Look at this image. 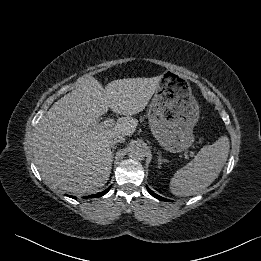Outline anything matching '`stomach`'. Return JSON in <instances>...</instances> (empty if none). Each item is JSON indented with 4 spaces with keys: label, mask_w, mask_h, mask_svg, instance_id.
<instances>
[{
    "label": "stomach",
    "mask_w": 261,
    "mask_h": 261,
    "mask_svg": "<svg viewBox=\"0 0 261 261\" xmlns=\"http://www.w3.org/2000/svg\"><path fill=\"white\" fill-rule=\"evenodd\" d=\"M160 77L147 114L150 129L166 150L182 152L194 142L193 128L199 119V104L188 80L172 70Z\"/></svg>",
    "instance_id": "stomach-1"
}]
</instances>
